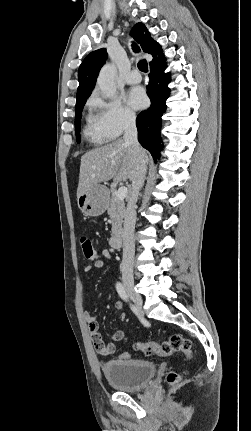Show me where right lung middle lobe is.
I'll use <instances>...</instances> for the list:
<instances>
[{
  "instance_id": "dd1d6c3e",
  "label": "right lung middle lobe",
  "mask_w": 251,
  "mask_h": 431,
  "mask_svg": "<svg viewBox=\"0 0 251 431\" xmlns=\"http://www.w3.org/2000/svg\"><path fill=\"white\" fill-rule=\"evenodd\" d=\"M89 96L83 97L77 100L76 102V114H75V133H76V140L77 143H80V126H81V115L83 107L86 103V100Z\"/></svg>"
}]
</instances>
